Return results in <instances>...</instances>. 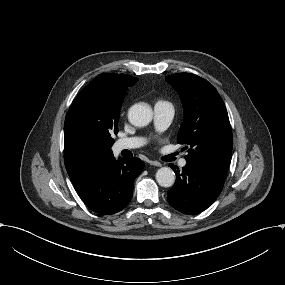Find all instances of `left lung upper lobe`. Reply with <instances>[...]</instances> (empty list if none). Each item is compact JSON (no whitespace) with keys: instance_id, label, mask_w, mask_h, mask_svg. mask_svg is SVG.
<instances>
[{"instance_id":"5c2ea615","label":"left lung upper lobe","mask_w":285,"mask_h":285,"mask_svg":"<svg viewBox=\"0 0 285 285\" xmlns=\"http://www.w3.org/2000/svg\"><path fill=\"white\" fill-rule=\"evenodd\" d=\"M166 81L182 101L184 121L177 142L189 148L187 163L226 175L233 139L222 98L208 81L191 73L173 74Z\"/></svg>"}]
</instances>
